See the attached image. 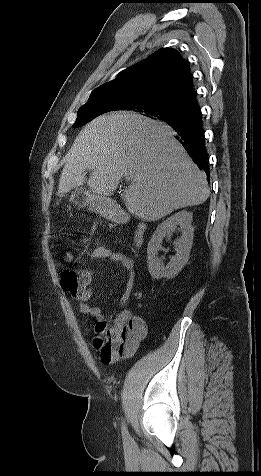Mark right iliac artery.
Wrapping results in <instances>:
<instances>
[{"mask_svg": "<svg viewBox=\"0 0 261 476\" xmlns=\"http://www.w3.org/2000/svg\"><path fill=\"white\" fill-rule=\"evenodd\" d=\"M121 431H122V436H123L124 440H129V433H128V430H127L126 425L124 423H122Z\"/></svg>", "mask_w": 261, "mask_h": 476, "instance_id": "82829eb1", "label": "right iliac artery"}]
</instances>
